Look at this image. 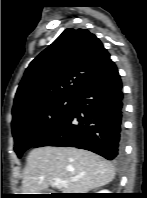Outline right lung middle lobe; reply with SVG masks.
<instances>
[{
  "label": "right lung middle lobe",
  "instance_id": "obj_1",
  "mask_svg": "<svg viewBox=\"0 0 147 198\" xmlns=\"http://www.w3.org/2000/svg\"><path fill=\"white\" fill-rule=\"evenodd\" d=\"M74 99H60L43 104L12 121L14 150L22 154L46 137L71 111Z\"/></svg>",
  "mask_w": 147,
  "mask_h": 198
}]
</instances>
